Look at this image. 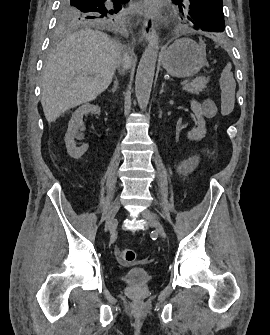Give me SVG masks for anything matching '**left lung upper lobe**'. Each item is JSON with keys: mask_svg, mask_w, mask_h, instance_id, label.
Instances as JSON below:
<instances>
[{"mask_svg": "<svg viewBox=\"0 0 270 335\" xmlns=\"http://www.w3.org/2000/svg\"><path fill=\"white\" fill-rule=\"evenodd\" d=\"M196 30L222 33L225 28L222 0H173Z\"/></svg>", "mask_w": 270, "mask_h": 335, "instance_id": "obj_1", "label": "left lung upper lobe"}]
</instances>
